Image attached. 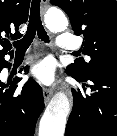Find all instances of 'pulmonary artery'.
Instances as JSON below:
<instances>
[{"mask_svg":"<svg viewBox=\"0 0 117 136\" xmlns=\"http://www.w3.org/2000/svg\"><path fill=\"white\" fill-rule=\"evenodd\" d=\"M56 46L63 50H73L78 47V41L71 33L63 32L59 35Z\"/></svg>","mask_w":117,"mask_h":136,"instance_id":"obj_1","label":"pulmonary artery"}]
</instances>
